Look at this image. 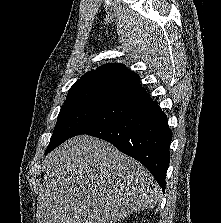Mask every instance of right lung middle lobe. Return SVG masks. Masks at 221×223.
<instances>
[{"mask_svg":"<svg viewBox=\"0 0 221 223\" xmlns=\"http://www.w3.org/2000/svg\"><path fill=\"white\" fill-rule=\"evenodd\" d=\"M134 108L130 104L96 98L64 102L45 154L65 140L110 123Z\"/></svg>","mask_w":221,"mask_h":223,"instance_id":"obj_1","label":"right lung middle lobe"}]
</instances>
